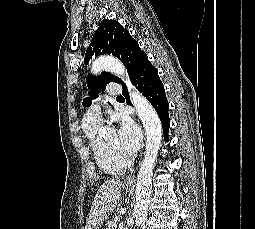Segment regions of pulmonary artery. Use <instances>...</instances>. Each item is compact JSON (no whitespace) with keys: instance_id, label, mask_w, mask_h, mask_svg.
<instances>
[{"instance_id":"pulmonary-artery-1","label":"pulmonary artery","mask_w":255,"mask_h":229,"mask_svg":"<svg viewBox=\"0 0 255 229\" xmlns=\"http://www.w3.org/2000/svg\"><path fill=\"white\" fill-rule=\"evenodd\" d=\"M122 92V89L117 84H110L107 88V93L110 96H117ZM101 108L98 102L94 103L86 112L83 118V125L100 126L102 124Z\"/></svg>"}]
</instances>
